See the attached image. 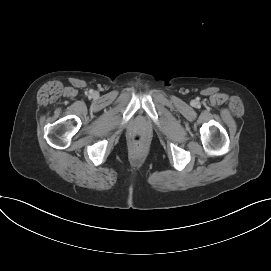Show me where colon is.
<instances>
[{
  "mask_svg": "<svg viewBox=\"0 0 271 271\" xmlns=\"http://www.w3.org/2000/svg\"><path fill=\"white\" fill-rule=\"evenodd\" d=\"M133 139L136 143H140L142 141V137L139 134H136Z\"/></svg>",
  "mask_w": 271,
  "mask_h": 271,
  "instance_id": "colon-1",
  "label": "colon"
}]
</instances>
